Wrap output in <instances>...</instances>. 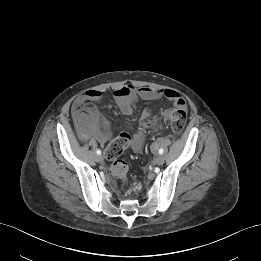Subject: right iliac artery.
<instances>
[{
    "mask_svg": "<svg viewBox=\"0 0 261 261\" xmlns=\"http://www.w3.org/2000/svg\"><path fill=\"white\" fill-rule=\"evenodd\" d=\"M96 153H97L98 155H101V150H100V149H97V150H96Z\"/></svg>",
    "mask_w": 261,
    "mask_h": 261,
    "instance_id": "obj_1",
    "label": "right iliac artery"
}]
</instances>
